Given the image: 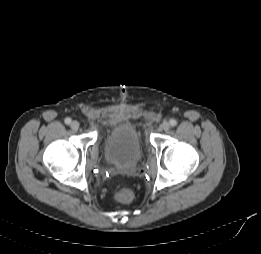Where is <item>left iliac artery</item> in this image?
Returning <instances> with one entry per match:
<instances>
[{
    "instance_id": "left-iliac-artery-1",
    "label": "left iliac artery",
    "mask_w": 261,
    "mask_h": 254,
    "mask_svg": "<svg viewBox=\"0 0 261 254\" xmlns=\"http://www.w3.org/2000/svg\"><path fill=\"white\" fill-rule=\"evenodd\" d=\"M170 125L171 126H176L177 125V121L175 119H171L170 120Z\"/></svg>"
}]
</instances>
